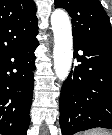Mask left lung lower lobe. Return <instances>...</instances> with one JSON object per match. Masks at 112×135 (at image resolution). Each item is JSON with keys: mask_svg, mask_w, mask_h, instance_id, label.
Masks as SVG:
<instances>
[{"mask_svg": "<svg viewBox=\"0 0 112 135\" xmlns=\"http://www.w3.org/2000/svg\"><path fill=\"white\" fill-rule=\"evenodd\" d=\"M73 41L79 64L61 90L62 135L96 127L112 129V46Z\"/></svg>", "mask_w": 112, "mask_h": 135, "instance_id": "0a47b994", "label": "left lung lower lobe"}]
</instances>
